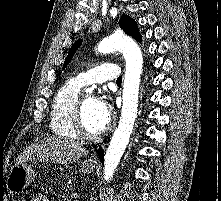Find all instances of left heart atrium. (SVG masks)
Listing matches in <instances>:
<instances>
[{"mask_svg":"<svg viewBox=\"0 0 221 201\" xmlns=\"http://www.w3.org/2000/svg\"><path fill=\"white\" fill-rule=\"evenodd\" d=\"M99 104H100V107H101V110H102L104 116L107 117L109 120L110 116H111V109L109 108V106L105 102L99 101Z\"/></svg>","mask_w":221,"mask_h":201,"instance_id":"left-heart-atrium-1","label":"left heart atrium"}]
</instances>
